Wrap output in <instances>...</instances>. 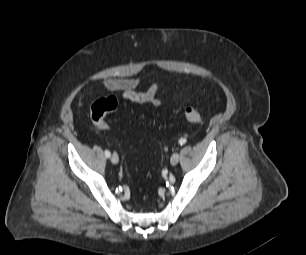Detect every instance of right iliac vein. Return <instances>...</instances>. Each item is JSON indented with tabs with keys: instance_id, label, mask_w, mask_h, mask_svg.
Masks as SVG:
<instances>
[{
	"instance_id": "1",
	"label": "right iliac vein",
	"mask_w": 306,
	"mask_h": 255,
	"mask_svg": "<svg viewBox=\"0 0 306 255\" xmlns=\"http://www.w3.org/2000/svg\"><path fill=\"white\" fill-rule=\"evenodd\" d=\"M111 162L113 164H117L119 162V157L116 153H113L112 156H111Z\"/></svg>"
}]
</instances>
